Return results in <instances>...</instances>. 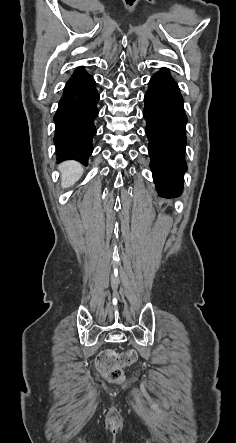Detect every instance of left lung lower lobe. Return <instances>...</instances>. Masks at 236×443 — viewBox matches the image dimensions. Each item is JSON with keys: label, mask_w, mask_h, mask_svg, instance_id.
<instances>
[{"label": "left lung lower lobe", "mask_w": 236, "mask_h": 443, "mask_svg": "<svg viewBox=\"0 0 236 443\" xmlns=\"http://www.w3.org/2000/svg\"><path fill=\"white\" fill-rule=\"evenodd\" d=\"M144 118L149 139L150 167L160 195H180L186 170V122L183 98L167 68L149 82Z\"/></svg>", "instance_id": "left-lung-lower-lobe-1"}]
</instances>
